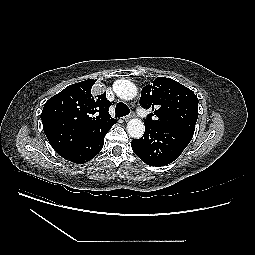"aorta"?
Masks as SVG:
<instances>
[{"label":"aorta","instance_id":"obj_1","mask_svg":"<svg viewBox=\"0 0 255 255\" xmlns=\"http://www.w3.org/2000/svg\"><path fill=\"white\" fill-rule=\"evenodd\" d=\"M114 92L124 100H131L137 94L136 86L129 80H118L113 85ZM127 131L132 138H141L145 131L144 123L138 119H130L127 123Z\"/></svg>","mask_w":255,"mask_h":255}]
</instances>
